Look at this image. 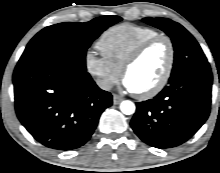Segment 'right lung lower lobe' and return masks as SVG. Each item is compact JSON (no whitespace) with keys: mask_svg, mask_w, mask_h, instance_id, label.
I'll list each match as a JSON object with an SVG mask.
<instances>
[{"mask_svg":"<svg viewBox=\"0 0 220 173\" xmlns=\"http://www.w3.org/2000/svg\"><path fill=\"white\" fill-rule=\"evenodd\" d=\"M13 83L19 120L38 142L56 150L84 145L112 105V95L85 70L62 61L18 64Z\"/></svg>","mask_w":220,"mask_h":173,"instance_id":"right-lung-lower-lobe-1","label":"right lung lower lobe"}]
</instances>
